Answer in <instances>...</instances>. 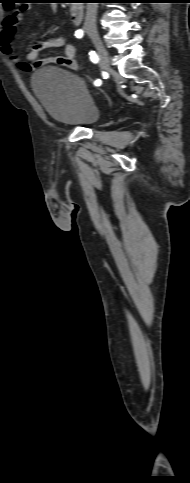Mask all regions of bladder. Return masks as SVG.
Wrapping results in <instances>:
<instances>
[{
    "label": "bladder",
    "mask_w": 190,
    "mask_h": 483,
    "mask_svg": "<svg viewBox=\"0 0 190 483\" xmlns=\"http://www.w3.org/2000/svg\"><path fill=\"white\" fill-rule=\"evenodd\" d=\"M35 96L56 120L80 126L95 124L101 115L84 81L73 71L48 66L32 76Z\"/></svg>",
    "instance_id": "31cf9c89"
}]
</instances>
